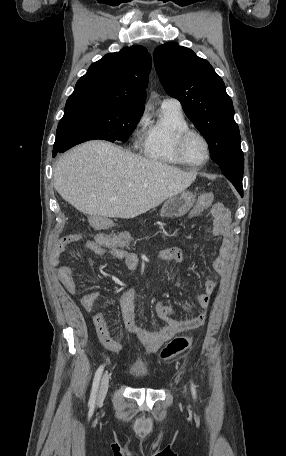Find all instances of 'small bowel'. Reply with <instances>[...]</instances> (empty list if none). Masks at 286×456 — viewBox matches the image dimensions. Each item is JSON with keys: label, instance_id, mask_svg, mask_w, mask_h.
<instances>
[{"label": "small bowel", "instance_id": "1", "mask_svg": "<svg viewBox=\"0 0 286 456\" xmlns=\"http://www.w3.org/2000/svg\"><path fill=\"white\" fill-rule=\"evenodd\" d=\"M207 206L196 205L190 212V217L197 216ZM212 215L215 223L213 226V234L220 238L217 251L211 262L212 268L218 274H226L231 259V238H230V216L226 208L221 203H215L212 206ZM71 235L61 237L55 244L52 255L51 264L57 267V277L63 288L71 295L76 293V283L74 280L73 269L69 264H60L63 254L66 252L68 245L76 240L71 238ZM110 236L111 243H106L103 238ZM130 243V236L127 233L108 234L97 233L93 239L82 243L81 247L89 254L98 257H109L114 260L122 261L124 265L131 271H135L139 267V258L133 252L125 250L123 247ZM156 257L160 260L180 263L186 257L184 251L177 247L166 248L160 250ZM217 287V282L207 279L203 282L204 291L193 296V301L196 305L203 309H207L210 305L211 296ZM100 296L97 290H90L83 294L80 299V306L86 313H91L93 306ZM134 298L135 289L133 280L130 279L126 289L121 296V311L124 324L127 330L133 334L142 344L145 345L148 352L156 351L166 341L174 335L182 332L191 331L202 326L206 320V312L188 319H175L174 310L164 304L162 301H157L154 306L157 317L164 323V327L158 331H148L141 328L135 321L134 317ZM94 327L96 329L100 343L109 351L118 353L121 350V345L114 341L110 336V330L106 321L105 315L101 310L94 313L92 317Z\"/></svg>", "mask_w": 286, "mask_h": 456}]
</instances>
